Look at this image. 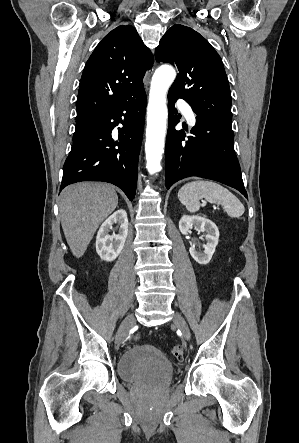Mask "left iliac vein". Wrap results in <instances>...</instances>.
Here are the masks:
<instances>
[{
	"label": "left iliac vein",
	"mask_w": 299,
	"mask_h": 443,
	"mask_svg": "<svg viewBox=\"0 0 299 443\" xmlns=\"http://www.w3.org/2000/svg\"><path fill=\"white\" fill-rule=\"evenodd\" d=\"M173 323L182 332L183 338L189 341L191 339L189 327L184 318L179 313L174 314Z\"/></svg>",
	"instance_id": "4c4485c4"
}]
</instances>
